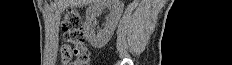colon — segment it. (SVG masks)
Here are the masks:
<instances>
[{
    "instance_id": "colon-1",
    "label": "colon",
    "mask_w": 232,
    "mask_h": 65,
    "mask_svg": "<svg viewBox=\"0 0 232 65\" xmlns=\"http://www.w3.org/2000/svg\"><path fill=\"white\" fill-rule=\"evenodd\" d=\"M65 46L63 58L67 60L73 53L76 56L73 65H88V55L82 50L84 46L83 19L77 11H69L62 20Z\"/></svg>"
}]
</instances>
